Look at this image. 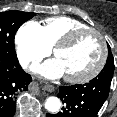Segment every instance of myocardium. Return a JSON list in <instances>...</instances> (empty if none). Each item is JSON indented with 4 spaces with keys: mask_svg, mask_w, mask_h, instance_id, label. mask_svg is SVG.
I'll return each instance as SVG.
<instances>
[{
    "mask_svg": "<svg viewBox=\"0 0 117 117\" xmlns=\"http://www.w3.org/2000/svg\"><path fill=\"white\" fill-rule=\"evenodd\" d=\"M85 33H92L98 38L101 45V56L98 63L89 72L81 76H64V79L69 83L80 84V83H85L92 80L102 71L107 61L108 49H107V44L104 39V36L98 30L91 27L76 29V30L70 31L65 36H63L53 46L52 51L54 56H56L57 52L60 49L70 46L79 36Z\"/></svg>",
    "mask_w": 117,
    "mask_h": 117,
    "instance_id": "f54148a6",
    "label": "myocardium"
}]
</instances>
